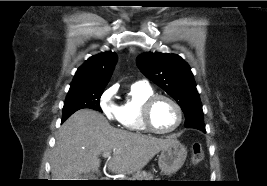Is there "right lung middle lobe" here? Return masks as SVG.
<instances>
[{"mask_svg": "<svg viewBox=\"0 0 267 186\" xmlns=\"http://www.w3.org/2000/svg\"><path fill=\"white\" fill-rule=\"evenodd\" d=\"M103 89L70 90L63 107L62 122L80 109L89 108L102 112L100 97Z\"/></svg>", "mask_w": 267, "mask_h": 186, "instance_id": "1", "label": "right lung middle lobe"}]
</instances>
